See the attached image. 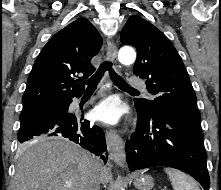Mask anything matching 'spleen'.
Listing matches in <instances>:
<instances>
[{"label": "spleen", "mask_w": 221, "mask_h": 190, "mask_svg": "<svg viewBox=\"0 0 221 190\" xmlns=\"http://www.w3.org/2000/svg\"><path fill=\"white\" fill-rule=\"evenodd\" d=\"M174 190H200L197 183L182 171L173 168H165Z\"/></svg>", "instance_id": "1"}]
</instances>
